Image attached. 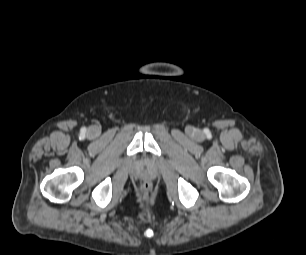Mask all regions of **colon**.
I'll use <instances>...</instances> for the list:
<instances>
[{
	"label": "colon",
	"instance_id": "5ec220e1",
	"mask_svg": "<svg viewBox=\"0 0 306 255\" xmlns=\"http://www.w3.org/2000/svg\"><path fill=\"white\" fill-rule=\"evenodd\" d=\"M151 190V186L148 182H145L143 185H142V191L144 194H148Z\"/></svg>",
	"mask_w": 306,
	"mask_h": 255
}]
</instances>
